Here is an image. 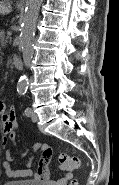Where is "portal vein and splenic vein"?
I'll return each instance as SVG.
<instances>
[{"label": "portal vein and splenic vein", "instance_id": "18ae733b", "mask_svg": "<svg viewBox=\"0 0 119 185\" xmlns=\"http://www.w3.org/2000/svg\"><path fill=\"white\" fill-rule=\"evenodd\" d=\"M7 35H8V37H11L12 32H11V31H8V32H7Z\"/></svg>", "mask_w": 119, "mask_h": 185}]
</instances>
